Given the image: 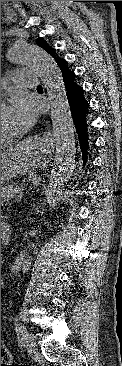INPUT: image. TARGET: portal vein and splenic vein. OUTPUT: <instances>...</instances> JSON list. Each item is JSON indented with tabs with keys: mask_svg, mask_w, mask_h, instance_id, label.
<instances>
[{
	"mask_svg": "<svg viewBox=\"0 0 122 366\" xmlns=\"http://www.w3.org/2000/svg\"><path fill=\"white\" fill-rule=\"evenodd\" d=\"M15 193H17V197H21V196H22V194L20 193V191H19V190H16V191H15ZM11 197H12V198H15V197H16V195H13V196L11 195Z\"/></svg>",
	"mask_w": 122,
	"mask_h": 366,
	"instance_id": "1",
	"label": "portal vein and splenic vein"
}]
</instances>
